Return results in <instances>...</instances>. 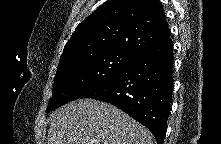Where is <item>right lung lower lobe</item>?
I'll use <instances>...</instances> for the list:
<instances>
[{"instance_id": "right-lung-lower-lobe-1", "label": "right lung lower lobe", "mask_w": 221, "mask_h": 144, "mask_svg": "<svg viewBox=\"0 0 221 144\" xmlns=\"http://www.w3.org/2000/svg\"><path fill=\"white\" fill-rule=\"evenodd\" d=\"M172 67L173 43L169 36L137 54L117 75L81 98L118 107L163 144L172 100Z\"/></svg>"}]
</instances>
